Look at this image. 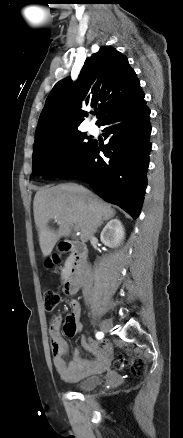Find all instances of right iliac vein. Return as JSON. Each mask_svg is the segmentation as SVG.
I'll use <instances>...</instances> for the list:
<instances>
[{
  "label": "right iliac vein",
  "mask_w": 183,
  "mask_h": 438,
  "mask_svg": "<svg viewBox=\"0 0 183 438\" xmlns=\"http://www.w3.org/2000/svg\"><path fill=\"white\" fill-rule=\"evenodd\" d=\"M99 325L103 332H108L112 328V322L110 320H102Z\"/></svg>",
  "instance_id": "right-iliac-vein-1"
}]
</instances>
